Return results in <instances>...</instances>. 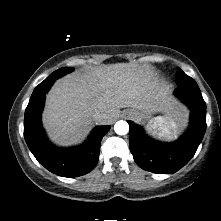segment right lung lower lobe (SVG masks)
<instances>
[{
  "instance_id": "1",
  "label": "right lung lower lobe",
  "mask_w": 221,
  "mask_h": 221,
  "mask_svg": "<svg viewBox=\"0 0 221 221\" xmlns=\"http://www.w3.org/2000/svg\"><path fill=\"white\" fill-rule=\"evenodd\" d=\"M54 81L40 83L33 91L24 116V138L37 161L62 177H77L90 172L99 159L100 142L110 126H98L79 147L58 148L51 144L41 125L46 93Z\"/></svg>"
}]
</instances>
